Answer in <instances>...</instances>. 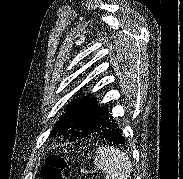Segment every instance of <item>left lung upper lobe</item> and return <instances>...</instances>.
Listing matches in <instances>:
<instances>
[{"label": "left lung upper lobe", "mask_w": 183, "mask_h": 179, "mask_svg": "<svg viewBox=\"0 0 183 179\" xmlns=\"http://www.w3.org/2000/svg\"><path fill=\"white\" fill-rule=\"evenodd\" d=\"M107 120V109L96 105L94 98H78L66 108V112L55 124L51 136L58 134L63 137V141H75L91 135Z\"/></svg>", "instance_id": "1"}]
</instances>
